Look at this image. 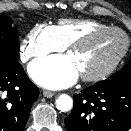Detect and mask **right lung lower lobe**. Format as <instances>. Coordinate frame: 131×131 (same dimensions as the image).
Here are the masks:
<instances>
[{
  "mask_svg": "<svg viewBox=\"0 0 131 131\" xmlns=\"http://www.w3.org/2000/svg\"><path fill=\"white\" fill-rule=\"evenodd\" d=\"M38 96L19 63L0 68V131H23Z\"/></svg>",
  "mask_w": 131,
  "mask_h": 131,
  "instance_id": "right-lung-lower-lobe-1",
  "label": "right lung lower lobe"
}]
</instances>
